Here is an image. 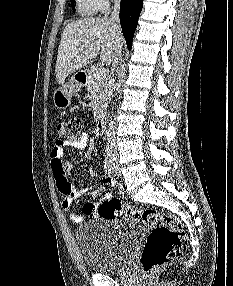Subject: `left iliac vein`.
I'll return each instance as SVG.
<instances>
[{
  "instance_id": "left-iliac-vein-1",
  "label": "left iliac vein",
  "mask_w": 233,
  "mask_h": 286,
  "mask_svg": "<svg viewBox=\"0 0 233 286\" xmlns=\"http://www.w3.org/2000/svg\"><path fill=\"white\" fill-rule=\"evenodd\" d=\"M112 169H113V173H114L115 176H119L120 175V171H119V168H118L117 165L114 164Z\"/></svg>"
}]
</instances>
